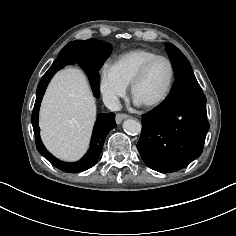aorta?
I'll return each mask as SVG.
<instances>
[{"mask_svg": "<svg viewBox=\"0 0 236 236\" xmlns=\"http://www.w3.org/2000/svg\"><path fill=\"white\" fill-rule=\"evenodd\" d=\"M123 129L128 134L137 135L141 132V124L134 119H127L123 122Z\"/></svg>", "mask_w": 236, "mask_h": 236, "instance_id": "1", "label": "aorta"}]
</instances>
